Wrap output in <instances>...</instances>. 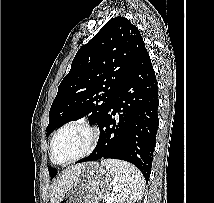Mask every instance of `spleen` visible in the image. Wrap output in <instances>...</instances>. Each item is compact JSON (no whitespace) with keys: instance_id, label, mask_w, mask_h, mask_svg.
I'll use <instances>...</instances> for the list:
<instances>
[{"instance_id":"3e777b00","label":"spleen","mask_w":214,"mask_h":203,"mask_svg":"<svg viewBox=\"0 0 214 203\" xmlns=\"http://www.w3.org/2000/svg\"><path fill=\"white\" fill-rule=\"evenodd\" d=\"M101 165L114 175L115 203H132L141 199L145 180L136 167L114 159L102 160Z\"/></svg>"}]
</instances>
